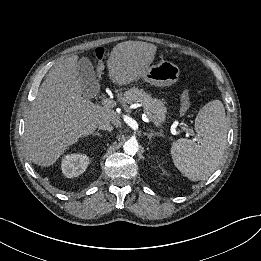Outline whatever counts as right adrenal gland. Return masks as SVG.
<instances>
[{
    "instance_id": "1",
    "label": "right adrenal gland",
    "mask_w": 261,
    "mask_h": 261,
    "mask_svg": "<svg viewBox=\"0 0 261 261\" xmlns=\"http://www.w3.org/2000/svg\"><path fill=\"white\" fill-rule=\"evenodd\" d=\"M99 136V137H101L102 135L99 133V132H95V133H93V136Z\"/></svg>"
}]
</instances>
